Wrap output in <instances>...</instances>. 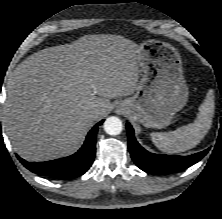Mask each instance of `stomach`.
<instances>
[{
	"instance_id": "stomach-1",
	"label": "stomach",
	"mask_w": 222,
	"mask_h": 219,
	"mask_svg": "<svg viewBox=\"0 0 222 219\" xmlns=\"http://www.w3.org/2000/svg\"><path fill=\"white\" fill-rule=\"evenodd\" d=\"M138 65L142 76L135 94L117 105V111L148 128L169 124L188 101L178 50L160 40H147L139 46Z\"/></svg>"
}]
</instances>
